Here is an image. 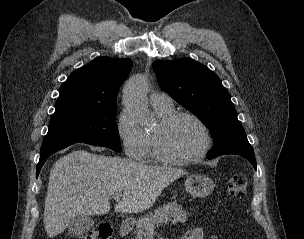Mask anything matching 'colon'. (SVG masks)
Here are the masks:
<instances>
[{
	"label": "colon",
	"instance_id": "colon-1",
	"mask_svg": "<svg viewBox=\"0 0 304 239\" xmlns=\"http://www.w3.org/2000/svg\"><path fill=\"white\" fill-rule=\"evenodd\" d=\"M227 192L235 198H243L247 192V176L244 173L234 174L227 182ZM112 228L109 224H101L91 229L78 239H110Z\"/></svg>",
	"mask_w": 304,
	"mask_h": 239
}]
</instances>
